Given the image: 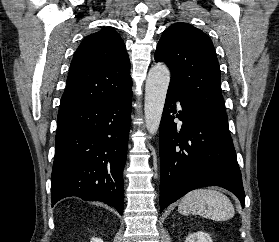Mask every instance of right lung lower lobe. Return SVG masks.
Returning <instances> with one entry per match:
<instances>
[{
	"mask_svg": "<svg viewBox=\"0 0 279 242\" xmlns=\"http://www.w3.org/2000/svg\"><path fill=\"white\" fill-rule=\"evenodd\" d=\"M132 90L113 99L59 110L52 206L65 197L102 201L123 213Z\"/></svg>",
	"mask_w": 279,
	"mask_h": 242,
	"instance_id": "obj_1",
	"label": "right lung lower lobe"
}]
</instances>
